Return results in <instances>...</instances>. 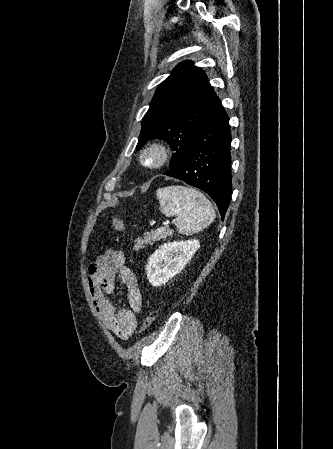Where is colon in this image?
<instances>
[{
    "instance_id": "obj_1",
    "label": "colon",
    "mask_w": 333,
    "mask_h": 449,
    "mask_svg": "<svg viewBox=\"0 0 333 449\" xmlns=\"http://www.w3.org/2000/svg\"><path fill=\"white\" fill-rule=\"evenodd\" d=\"M112 225H113V228L118 232H122L125 229V224H124L123 220L119 217H113ZM157 316H158V312L156 309L150 310L143 321L142 330L145 331V330L149 329L151 326H153V324L156 321Z\"/></svg>"
}]
</instances>
